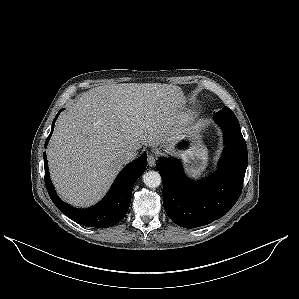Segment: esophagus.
<instances>
[{
	"instance_id": "esophagus-1",
	"label": "esophagus",
	"mask_w": 299,
	"mask_h": 299,
	"mask_svg": "<svg viewBox=\"0 0 299 299\" xmlns=\"http://www.w3.org/2000/svg\"><path fill=\"white\" fill-rule=\"evenodd\" d=\"M157 158L154 155H149L147 162L150 167H154L156 164Z\"/></svg>"
}]
</instances>
